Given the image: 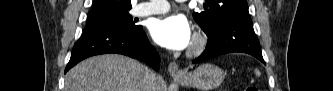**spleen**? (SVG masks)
<instances>
[{
	"label": "spleen",
	"instance_id": "spleen-1",
	"mask_svg": "<svg viewBox=\"0 0 333 91\" xmlns=\"http://www.w3.org/2000/svg\"><path fill=\"white\" fill-rule=\"evenodd\" d=\"M254 72H255V74H256L257 76L260 75V72H259L258 70H255Z\"/></svg>",
	"mask_w": 333,
	"mask_h": 91
}]
</instances>
